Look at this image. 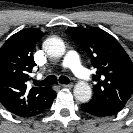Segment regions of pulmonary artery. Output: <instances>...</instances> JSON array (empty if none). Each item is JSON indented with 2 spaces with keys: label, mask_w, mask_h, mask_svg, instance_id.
<instances>
[{
  "label": "pulmonary artery",
  "mask_w": 133,
  "mask_h": 133,
  "mask_svg": "<svg viewBox=\"0 0 133 133\" xmlns=\"http://www.w3.org/2000/svg\"><path fill=\"white\" fill-rule=\"evenodd\" d=\"M62 66L71 69L78 78L86 81L90 80L89 72L82 65L76 51L71 50L67 52L63 59Z\"/></svg>",
  "instance_id": "e3ab8cb5"
}]
</instances>
